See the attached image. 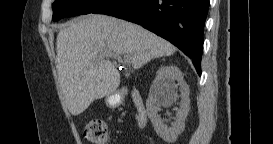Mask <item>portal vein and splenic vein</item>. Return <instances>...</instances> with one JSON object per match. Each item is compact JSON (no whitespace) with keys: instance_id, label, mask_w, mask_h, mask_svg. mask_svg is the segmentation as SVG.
Instances as JSON below:
<instances>
[{"instance_id":"obj_1","label":"portal vein and splenic vein","mask_w":273,"mask_h":144,"mask_svg":"<svg viewBox=\"0 0 273 144\" xmlns=\"http://www.w3.org/2000/svg\"><path fill=\"white\" fill-rule=\"evenodd\" d=\"M107 57H113V58L117 59L119 62L123 61L119 54L110 53V54L107 55ZM130 60H131V56L128 55V54H125L124 63H130Z\"/></svg>"}]
</instances>
